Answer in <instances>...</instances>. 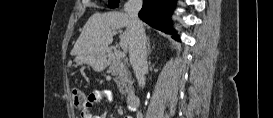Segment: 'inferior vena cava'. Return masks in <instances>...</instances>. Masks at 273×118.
<instances>
[{
    "label": "inferior vena cava",
    "instance_id": "602c4592",
    "mask_svg": "<svg viewBox=\"0 0 273 118\" xmlns=\"http://www.w3.org/2000/svg\"><path fill=\"white\" fill-rule=\"evenodd\" d=\"M142 7V0H128L124 6L130 18L131 41L129 44L130 63L138 80L139 87L145 86V73L148 69L146 34L138 12Z\"/></svg>",
    "mask_w": 273,
    "mask_h": 118
}]
</instances>
